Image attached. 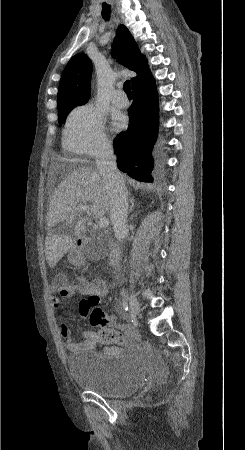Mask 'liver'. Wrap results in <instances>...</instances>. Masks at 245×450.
<instances>
[{"label":"liver","instance_id":"liver-1","mask_svg":"<svg viewBox=\"0 0 245 450\" xmlns=\"http://www.w3.org/2000/svg\"><path fill=\"white\" fill-rule=\"evenodd\" d=\"M80 205L90 208L95 218L109 214L110 199L99 172L91 167H81L71 171L55 188L47 212V235L45 256L49 267L53 268L64 254L74 247V239L86 231L87 217H79L73 235L56 233L53 227L63 222ZM79 212H75L78 215ZM75 236V238H73Z\"/></svg>","mask_w":245,"mask_h":450}]
</instances>
